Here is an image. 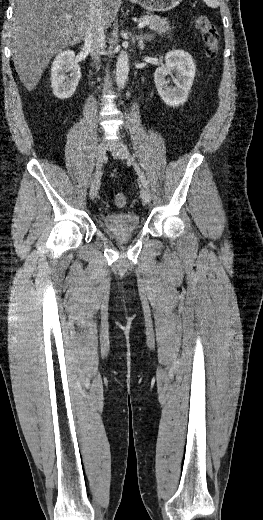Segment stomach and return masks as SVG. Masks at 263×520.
I'll use <instances>...</instances> for the list:
<instances>
[{
    "label": "stomach",
    "instance_id": "1",
    "mask_svg": "<svg viewBox=\"0 0 263 520\" xmlns=\"http://www.w3.org/2000/svg\"><path fill=\"white\" fill-rule=\"evenodd\" d=\"M144 9L153 12H167L177 7L182 0H130Z\"/></svg>",
    "mask_w": 263,
    "mask_h": 520
}]
</instances>
